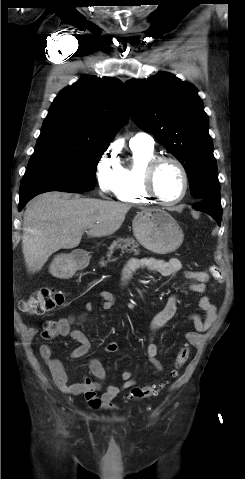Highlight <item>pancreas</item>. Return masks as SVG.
Wrapping results in <instances>:
<instances>
[{
  "instance_id": "cf45deb5",
  "label": "pancreas",
  "mask_w": 245,
  "mask_h": 479,
  "mask_svg": "<svg viewBox=\"0 0 245 479\" xmlns=\"http://www.w3.org/2000/svg\"><path fill=\"white\" fill-rule=\"evenodd\" d=\"M138 246L139 245L136 243V241L133 238H130V237H128V238H117L116 240H114L112 242V244L108 248L109 251L107 252L106 256H107L108 260H110L114 251L118 248H120L122 250L130 251V252L133 251V252H135V254H138V252H139L137 250ZM100 264L102 266H105L107 264V261H105L104 258H102Z\"/></svg>"
}]
</instances>
